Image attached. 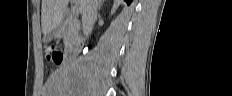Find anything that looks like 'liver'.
<instances>
[{
	"instance_id": "obj_1",
	"label": "liver",
	"mask_w": 232,
	"mask_h": 96,
	"mask_svg": "<svg viewBox=\"0 0 232 96\" xmlns=\"http://www.w3.org/2000/svg\"><path fill=\"white\" fill-rule=\"evenodd\" d=\"M85 0H77L79 12H83ZM69 0H42L41 26L42 33L52 31L63 19Z\"/></svg>"
}]
</instances>
